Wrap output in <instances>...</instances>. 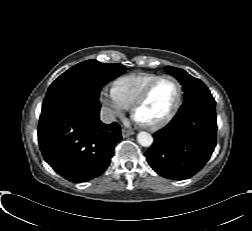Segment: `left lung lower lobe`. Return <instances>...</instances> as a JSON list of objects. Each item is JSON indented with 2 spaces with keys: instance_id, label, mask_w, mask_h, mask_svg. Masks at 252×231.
<instances>
[{
  "instance_id": "1",
  "label": "left lung lower lobe",
  "mask_w": 252,
  "mask_h": 231,
  "mask_svg": "<svg viewBox=\"0 0 252 231\" xmlns=\"http://www.w3.org/2000/svg\"><path fill=\"white\" fill-rule=\"evenodd\" d=\"M213 97L185 101L176 116L157 131L145 156L152 169L169 179H187L206 164L216 146Z\"/></svg>"
}]
</instances>
